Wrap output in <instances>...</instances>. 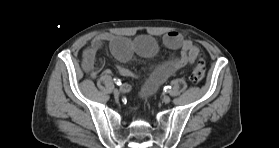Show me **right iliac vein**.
<instances>
[{
  "label": "right iliac vein",
  "instance_id": "63e3f726",
  "mask_svg": "<svg viewBox=\"0 0 279 148\" xmlns=\"http://www.w3.org/2000/svg\"><path fill=\"white\" fill-rule=\"evenodd\" d=\"M113 94H114L115 97H119L120 91L118 89H114Z\"/></svg>",
  "mask_w": 279,
  "mask_h": 148
}]
</instances>
